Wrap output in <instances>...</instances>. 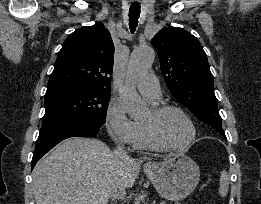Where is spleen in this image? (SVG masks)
Masks as SVG:
<instances>
[{
	"mask_svg": "<svg viewBox=\"0 0 261 204\" xmlns=\"http://www.w3.org/2000/svg\"><path fill=\"white\" fill-rule=\"evenodd\" d=\"M229 189V175L226 170L221 172L219 194L221 197H225Z\"/></svg>",
	"mask_w": 261,
	"mask_h": 204,
	"instance_id": "obj_1",
	"label": "spleen"
}]
</instances>
